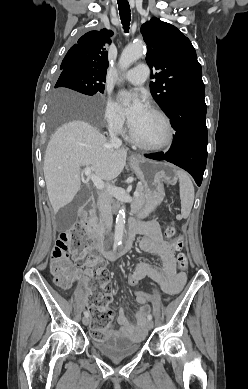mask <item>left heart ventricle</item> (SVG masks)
Masks as SVG:
<instances>
[{
    "instance_id": "1",
    "label": "left heart ventricle",
    "mask_w": 248,
    "mask_h": 389,
    "mask_svg": "<svg viewBox=\"0 0 248 389\" xmlns=\"http://www.w3.org/2000/svg\"><path fill=\"white\" fill-rule=\"evenodd\" d=\"M131 129L133 134L145 143H158L165 137L166 133L162 120L148 109L131 126Z\"/></svg>"
}]
</instances>
